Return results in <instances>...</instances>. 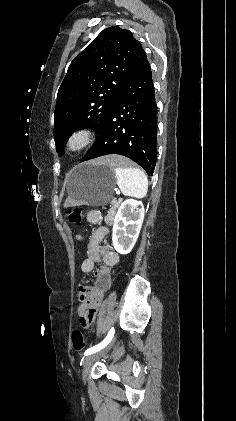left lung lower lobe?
Returning a JSON list of instances; mask_svg holds the SVG:
<instances>
[{"label":"left lung lower lobe","mask_w":236,"mask_h":421,"mask_svg":"<svg viewBox=\"0 0 236 421\" xmlns=\"http://www.w3.org/2000/svg\"><path fill=\"white\" fill-rule=\"evenodd\" d=\"M97 133L96 142L81 162L119 154L138 163L149 176L153 174L157 160V104L150 64L142 47Z\"/></svg>","instance_id":"1"}]
</instances>
